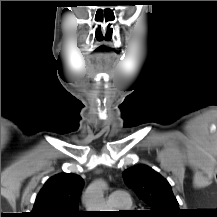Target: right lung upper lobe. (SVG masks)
Wrapping results in <instances>:
<instances>
[{"mask_svg": "<svg viewBox=\"0 0 217 217\" xmlns=\"http://www.w3.org/2000/svg\"><path fill=\"white\" fill-rule=\"evenodd\" d=\"M83 179L76 174L60 173L47 180L37 198L30 217H79L78 200Z\"/></svg>", "mask_w": 217, "mask_h": 217, "instance_id": "cb5924a9", "label": "right lung upper lobe"}]
</instances>
